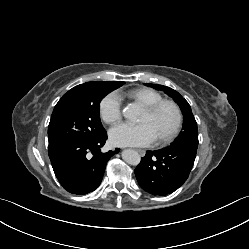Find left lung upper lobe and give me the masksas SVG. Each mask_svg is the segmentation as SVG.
Returning <instances> with one entry per match:
<instances>
[{
    "instance_id": "5c2ea615",
    "label": "left lung upper lobe",
    "mask_w": 249,
    "mask_h": 249,
    "mask_svg": "<svg viewBox=\"0 0 249 249\" xmlns=\"http://www.w3.org/2000/svg\"><path fill=\"white\" fill-rule=\"evenodd\" d=\"M153 87L157 90H162L179 105L183 114V127L179 137L168 147H190L197 149L198 147V129L196 120L192 114L191 107L188 102L175 90L170 87L157 85V84H145Z\"/></svg>"
}]
</instances>
